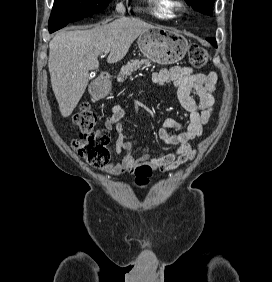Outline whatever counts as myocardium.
<instances>
[{
  "label": "myocardium",
  "mask_w": 272,
  "mask_h": 282,
  "mask_svg": "<svg viewBox=\"0 0 272 282\" xmlns=\"http://www.w3.org/2000/svg\"><path fill=\"white\" fill-rule=\"evenodd\" d=\"M171 8L176 12H182L185 9V5L181 0H173L171 2Z\"/></svg>",
  "instance_id": "f54148a6"
}]
</instances>
